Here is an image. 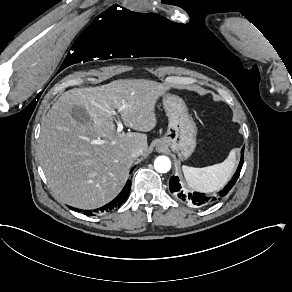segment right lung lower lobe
Wrapping results in <instances>:
<instances>
[{
	"mask_svg": "<svg viewBox=\"0 0 292 292\" xmlns=\"http://www.w3.org/2000/svg\"><path fill=\"white\" fill-rule=\"evenodd\" d=\"M130 188H131V181L128 180L126 182L123 190L120 192V194L114 200H112L110 203L106 204L105 206H103L99 209H95L94 211L85 210L84 213L86 215H94V212H97V211L109 212L116 207H120V205L126 201L128 195H129V192H130ZM70 208L73 209L74 211H81V210L73 208V207H70Z\"/></svg>",
	"mask_w": 292,
	"mask_h": 292,
	"instance_id": "1",
	"label": "right lung lower lobe"
}]
</instances>
